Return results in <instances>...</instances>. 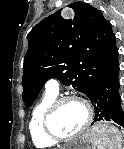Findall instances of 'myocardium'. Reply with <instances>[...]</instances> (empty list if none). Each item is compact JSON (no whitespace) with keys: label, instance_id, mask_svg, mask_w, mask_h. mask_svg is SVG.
<instances>
[{"label":"myocardium","instance_id":"myocardium-1","mask_svg":"<svg viewBox=\"0 0 124 149\" xmlns=\"http://www.w3.org/2000/svg\"><path fill=\"white\" fill-rule=\"evenodd\" d=\"M69 101L80 102L86 108V113H87L86 120L82 128L76 133L69 135V136H60L54 132L52 125H51L52 120L58 108L65 102H69ZM93 115H94L93 107L91 103L85 98L76 96V95L61 96V97L56 98L46 110L44 118H43V131L49 139L55 142H68L81 136L89 129V127L91 126L93 122Z\"/></svg>","mask_w":124,"mask_h":149}]
</instances>
